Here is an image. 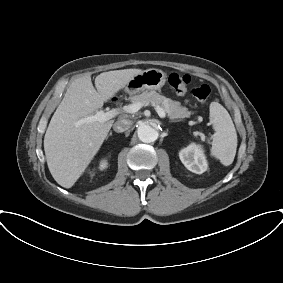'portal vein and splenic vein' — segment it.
<instances>
[{"mask_svg":"<svg viewBox=\"0 0 283 283\" xmlns=\"http://www.w3.org/2000/svg\"><path fill=\"white\" fill-rule=\"evenodd\" d=\"M142 106H144L142 103L137 102V103L125 105L122 108H114L107 112L100 110L97 111L94 115L82 119L81 122L82 123L95 122V121L105 122L114 118L115 116L119 115L122 112L131 113V114L136 113L142 108ZM155 110L161 118L166 117L165 111L160 106L156 105ZM201 136L204 137V134L201 133Z\"/></svg>","mask_w":283,"mask_h":283,"instance_id":"portal-vein-and-splenic-vein-1","label":"portal vein and splenic vein"}]
</instances>
